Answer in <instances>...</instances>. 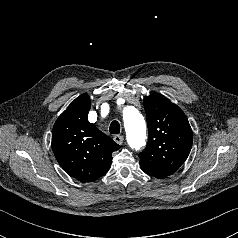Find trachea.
I'll return each instance as SVG.
<instances>
[{
  "instance_id": "3493384b",
  "label": "trachea",
  "mask_w": 238,
  "mask_h": 238,
  "mask_svg": "<svg viewBox=\"0 0 238 238\" xmlns=\"http://www.w3.org/2000/svg\"><path fill=\"white\" fill-rule=\"evenodd\" d=\"M110 133L119 134L120 133V124L118 121H113L109 128Z\"/></svg>"
}]
</instances>
